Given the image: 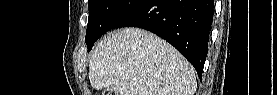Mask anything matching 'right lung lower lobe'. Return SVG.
<instances>
[{
    "mask_svg": "<svg viewBox=\"0 0 277 95\" xmlns=\"http://www.w3.org/2000/svg\"><path fill=\"white\" fill-rule=\"evenodd\" d=\"M214 0H143L114 28L139 27L173 45L202 79Z\"/></svg>",
    "mask_w": 277,
    "mask_h": 95,
    "instance_id": "1",
    "label": "right lung lower lobe"
}]
</instances>
